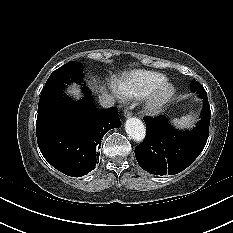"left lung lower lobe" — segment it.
<instances>
[{
	"instance_id": "obj_1",
	"label": "left lung lower lobe",
	"mask_w": 233,
	"mask_h": 233,
	"mask_svg": "<svg viewBox=\"0 0 233 233\" xmlns=\"http://www.w3.org/2000/svg\"><path fill=\"white\" fill-rule=\"evenodd\" d=\"M201 120L192 131H178L163 117L144 118L146 137L135 148L140 167L154 175H174L190 166L204 149L209 133L210 105L206 91Z\"/></svg>"
}]
</instances>
